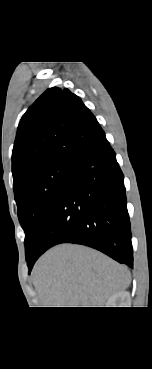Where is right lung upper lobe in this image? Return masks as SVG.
<instances>
[{
  "instance_id": "cb5924a9",
  "label": "right lung upper lobe",
  "mask_w": 152,
  "mask_h": 369,
  "mask_svg": "<svg viewBox=\"0 0 152 369\" xmlns=\"http://www.w3.org/2000/svg\"><path fill=\"white\" fill-rule=\"evenodd\" d=\"M103 135L78 96L68 89H48L20 120L12 153L13 188L35 170L73 162Z\"/></svg>"
}]
</instances>
